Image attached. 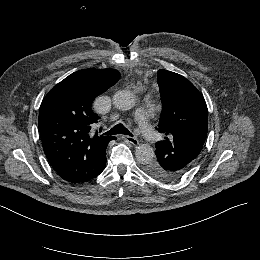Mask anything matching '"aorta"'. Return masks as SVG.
<instances>
[{"instance_id": "aorta-1", "label": "aorta", "mask_w": 260, "mask_h": 260, "mask_svg": "<svg viewBox=\"0 0 260 260\" xmlns=\"http://www.w3.org/2000/svg\"><path fill=\"white\" fill-rule=\"evenodd\" d=\"M113 103L119 110L127 111L135 106L136 98L131 91L120 90L114 94ZM135 156L140 164L147 165L153 161L155 153L149 144H140L136 148Z\"/></svg>"}]
</instances>
